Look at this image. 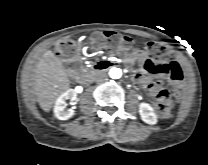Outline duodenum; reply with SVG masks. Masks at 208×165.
<instances>
[{
    "label": "duodenum",
    "instance_id": "duodenum-1",
    "mask_svg": "<svg viewBox=\"0 0 208 165\" xmlns=\"http://www.w3.org/2000/svg\"><path fill=\"white\" fill-rule=\"evenodd\" d=\"M109 66H110V63H107V62L97 63L94 66V69L91 73L85 74L80 77L79 82L83 85L89 84L93 80L94 75H96L100 71L106 70Z\"/></svg>",
    "mask_w": 208,
    "mask_h": 165
}]
</instances>
